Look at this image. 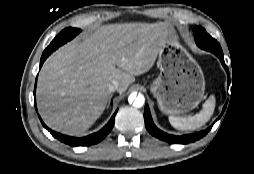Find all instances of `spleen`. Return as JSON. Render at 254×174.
<instances>
[{
    "label": "spleen",
    "instance_id": "spleen-1",
    "mask_svg": "<svg viewBox=\"0 0 254 174\" xmlns=\"http://www.w3.org/2000/svg\"><path fill=\"white\" fill-rule=\"evenodd\" d=\"M216 99L211 95L203 104L202 110L194 116L174 117L169 116L170 124L182 131L196 130L205 125L212 117L215 109Z\"/></svg>",
    "mask_w": 254,
    "mask_h": 174
}]
</instances>
